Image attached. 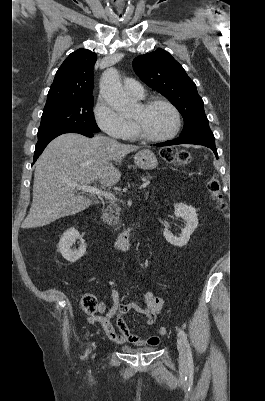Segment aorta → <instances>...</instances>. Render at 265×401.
I'll return each mask as SVG.
<instances>
[{"label": "aorta", "instance_id": "obj_1", "mask_svg": "<svg viewBox=\"0 0 265 401\" xmlns=\"http://www.w3.org/2000/svg\"><path fill=\"white\" fill-rule=\"evenodd\" d=\"M100 92L106 102L119 112H128L129 100L122 88L120 76L116 68L104 70L100 80Z\"/></svg>", "mask_w": 265, "mask_h": 401}]
</instances>
